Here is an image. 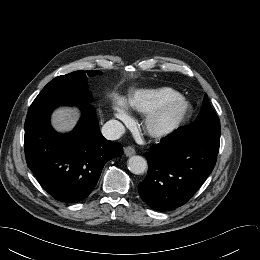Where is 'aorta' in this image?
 <instances>
[{"label":"aorta","mask_w":260,"mask_h":260,"mask_svg":"<svg viewBox=\"0 0 260 260\" xmlns=\"http://www.w3.org/2000/svg\"><path fill=\"white\" fill-rule=\"evenodd\" d=\"M127 166L130 172L139 175L147 170V161L141 156H132L128 159Z\"/></svg>","instance_id":"762f6f07"}]
</instances>
